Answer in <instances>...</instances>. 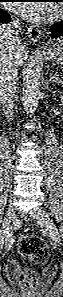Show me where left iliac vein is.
Returning a JSON list of instances; mask_svg holds the SVG:
<instances>
[{
	"label": "left iliac vein",
	"mask_w": 63,
	"mask_h": 297,
	"mask_svg": "<svg viewBox=\"0 0 63 297\" xmlns=\"http://www.w3.org/2000/svg\"><path fill=\"white\" fill-rule=\"evenodd\" d=\"M33 216L38 220L41 221L47 231L49 232L51 238L56 242L59 243L60 242V235H59V231L55 225V223L53 222V220L51 219V217L49 216V214L46 212L45 209H43L42 207H37L35 208V210L33 211Z\"/></svg>",
	"instance_id": "4c4485c4"
}]
</instances>
